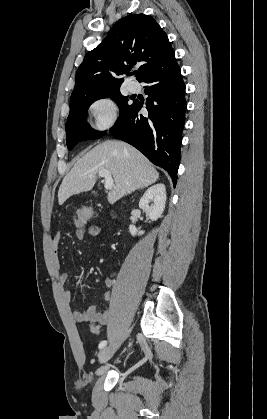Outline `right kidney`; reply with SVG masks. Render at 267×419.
I'll return each instance as SVG.
<instances>
[{
	"label": "right kidney",
	"instance_id": "obj_1",
	"mask_svg": "<svg viewBox=\"0 0 267 419\" xmlns=\"http://www.w3.org/2000/svg\"><path fill=\"white\" fill-rule=\"evenodd\" d=\"M153 204L150 205V203ZM166 204V189L164 184H156L143 194L139 201V208L145 211L146 215L153 221L161 217ZM132 236L142 235L144 231L138 230L134 225L129 226Z\"/></svg>",
	"mask_w": 267,
	"mask_h": 419
}]
</instances>
